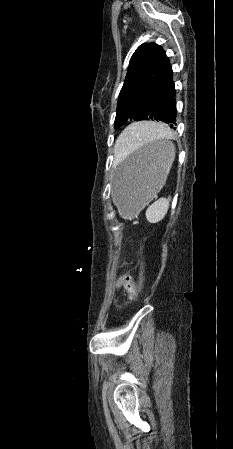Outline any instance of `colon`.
I'll use <instances>...</instances> for the list:
<instances>
[{
    "label": "colon",
    "instance_id": "obj_1",
    "mask_svg": "<svg viewBox=\"0 0 233 449\" xmlns=\"http://www.w3.org/2000/svg\"><path fill=\"white\" fill-rule=\"evenodd\" d=\"M120 287L125 289L131 302H136L138 298V289L133 274H125L120 276L115 288L118 290Z\"/></svg>",
    "mask_w": 233,
    "mask_h": 449
}]
</instances>
